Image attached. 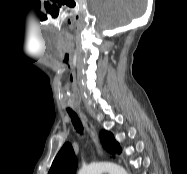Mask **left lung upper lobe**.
Returning a JSON list of instances; mask_svg holds the SVG:
<instances>
[{
	"label": "left lung upper lobe",
	"mask_w": 187,
	"mask_h": 174,
	"mask_svg": "<svg viewBox=\"0 0 187 174\" xmlns=\"http://www.w3.org/2000/svg\"><path fill=\"white\" fill-rule=\"evenodd\" d=\"M100 139L107 151L121 153V148L111 133L101 131ZM76 167L77 159L73 148L69 143H66L54 159L48 174H75Z\"/></svg>",
	"instance_id": "obj_1"
}]
</instances>
